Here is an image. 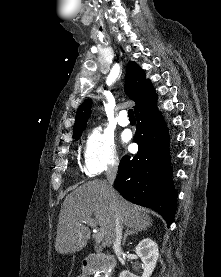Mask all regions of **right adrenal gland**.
Segmentation results:
<instances>
[{
  "mask_svg": "<svg viewBox=\"0 0 221 277\" xmlns=\"http://www.w3.org/2000/svg\"><path fill=\"white\" fill-rule=\"evenodd\" d=\"M141 230H129V228L126 229L124 236H123V244L126 242V239L128 236L133 235V234H137L138 232H140Z\"/></svg>",
  "mask_w": 221,
  "mask_h": 277,
  "instance_id": "right-adrenal-gland-1",
  "label": "right adrenal gland"
}]
</instances>
